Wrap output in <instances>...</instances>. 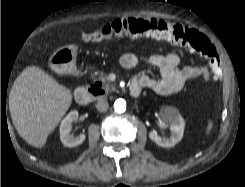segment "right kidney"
Here are the masks:
<instances>
[{
    "label": "right kidney",
    "instance_id": "right-kidney-1",
    "mask_svg": "<svg viewBox=\"0 0 245 187\" xmlns=\"http://www.w3.org/2000/svg\"><path fill=\"white\" fill-rule=\"evenodd\" d=\"M78 111H71L61 122L60 125V139L64 146L75 147L83 143L86 136L85 134H80L74 136L71 134L72 124L78 119Z\"/></svg>",
    "mask_w": 245,
    "mask_h": 187
}]
</instances>
